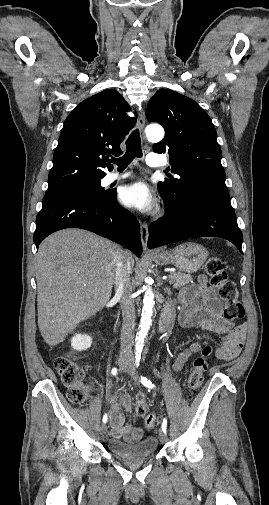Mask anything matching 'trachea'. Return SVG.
I'll list each match as a JSON object with an SVG mask.
<instances>
[{
	"label": "trachea",
	"instance_id": "obj_1",
	"mask_svg": "<svg viewBox=\"0 0 269 505\" xmlns=\"http://www.w3.org/2000/svg\"><path fill=\"white\" fill-rule=\"evenodd\" d=\"M136 157H142L141 138L138 129H135L126 140V153L122 157L112 158L110 161L118 165V170H124Z\"/></svg>",
	"mask_w": 269,
	"mask_h": 505
}]
</instances>
